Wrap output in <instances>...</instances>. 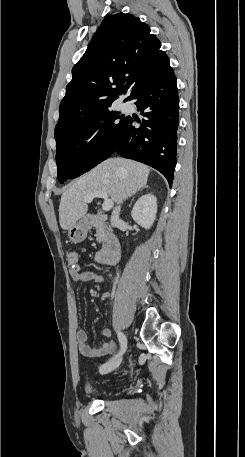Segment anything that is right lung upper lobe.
Returning <instances> with one entry per match:
<instances>
[{
    "mask_svg": "<svg viewBox=\"0 0 245 457\" xmlns=\"http://www.w3.org/2000/svg\"><path fill=\"white\" fill-rule=\"evenodd\" d=\"M160 47L139 18L124 13L107 15L72 69L55 129L108 107L127 89L132 95L141 84L171 69Z\"/></svg>",
    "mask_w": 245,
    "mask_h": 457,
    "instance_id": "cb5924a9",
    "label": "right lung upper lobe"
}]
</instances>
